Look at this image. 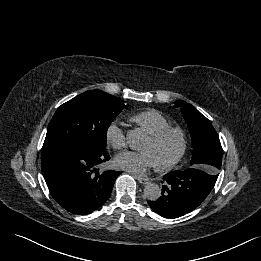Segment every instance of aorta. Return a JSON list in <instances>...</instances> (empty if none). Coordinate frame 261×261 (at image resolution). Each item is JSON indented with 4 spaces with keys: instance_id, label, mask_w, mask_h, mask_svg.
<instances>
[{
    "instance_id": "1",
    "label": "aorta",
    "mask_w": 261,
    "mask_h": 261,
    "mask_svg": "<svg viewBox=\"0 0 261 261\" xmlns=\"http://www.w3.org/2000/svg\"><path fill=\"white\" fill-rule=\"evenodd\" d=\"M146 141V135L139 128L127 133V143L132 150H140ZM144 195L150 201H156L161 196V188L158 184L148 183L144 187Z\"/></svg>"
}]
</instances>
